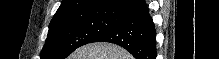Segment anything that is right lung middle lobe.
<instances>
[{"label":"right lung middle lobe","instance_id":"dd1d6c3e","mask_svg":"<svg viewBox=\"0 0 219 59\" xmlns=\"http://www.w3.org/2000/svg\"><path fill=\"white\" fill-rule=\"evenodd\" d=\"M123 16L112 10H92L52 19L41 59H65L118 24Z\"/></svg>","mask_w":219,"mask_h":59}]
</instances>
